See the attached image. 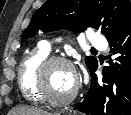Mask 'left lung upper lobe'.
I'll use <instances>...</instances> for the list:
<instances>
[{
	"mask_svg": "<svg viewBox=\"0 0 131 115\" xmlns=\"http://www.w3.org/2000/svg\"><path fill=\"white\" fill-rule=\"evenodd\" d=\"M131 19L128 0H48L32 16L23 36H34L38 30L49 32L61 28L83 32L88 27L100 29L109 39ZM91 71L98 61L87 56Z\"/></svg>",
	"mask_w": 131,
	"mask_h": 115,
	"instance_id": "5c2ea615",
	"label": "left lung upper lobe"
}]
</instances>
